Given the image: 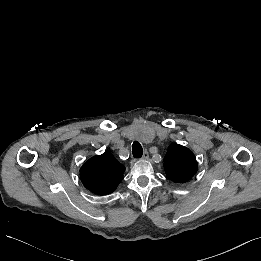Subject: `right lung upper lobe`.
<instances>
[{
	"instance_id": "1",
	"label": "right lung upper lobe",
	"mask_w": 261,
	"mask_h": 261,
	"mask_svg": "<svg viewBox=\"0 0 261 261\" xmlns=\"http://www.w3.org/2000/svg\"><path fill=\"white\" fill-rule=\"evenodd\" d=\"M125 167L110 152L89 159L80 169L84 187L97 195L113 192L123 179Z\"/></svg>"
}]
</instances>
